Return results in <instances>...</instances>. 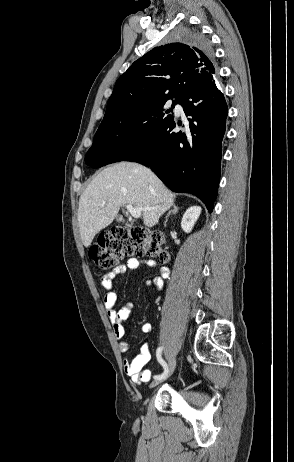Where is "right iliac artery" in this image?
<instances>
[{
	"mask_svg": "<svg viewBox=\"0 0 294 462\" xmlns=\"http://www.w3.org/2000/svg\"><path fill=\"white\" fill-rule=\"evenodd\" d=\"M163 347H159L157 349L156 355L159 363L163 366L164 372L161 375H155L154 379L155 380H163L166 378L167 372H168V366L167 363L162 359L161 354H162Z\"/></svg>",
	"mask_w": 294,
	"mask_h": 462,
	"instance_id": "right-iliac-artery-1",
	"label": "right iliac artery"
}]
</instances>
